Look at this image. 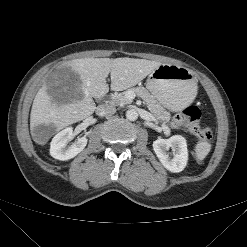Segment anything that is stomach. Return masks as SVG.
<instances>
[{"mask_svg": "<svg viewBox=\"0 0 247 247\" xmlns=\"http://www.w3.org/2000/svg\"><path fill=\"white\" fill-rule=\"evenodd\" d=\"M146 87L170 111L186 108L195 98L197 82L191 71L174 64H160L147 78Z\"/></svg>", "mask_w": 247, "mask_h": 247, "instance_id": "obj_1", "label": "stomach"}]
</instances>
